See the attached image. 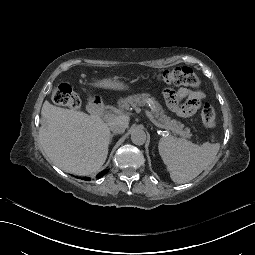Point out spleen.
<instances>
[{
	"mask_svg": "<svg viewBox=\"0 0 255 255\" xmlns=\"http://www.w3.org/2000/svg\"><path fill=\"white\" fill-rule=\"evenodd\" d=\"M220 148L219 143L201 146L184 138L162 137L158 149L163 162L176 183H186L197 177L210 165Z\"/></svg>",
	"mask_w": 255,
	"mask_h": 255,
	"instance_id": "3e777b00",
	"label": "spleen"
}]
</instances>
